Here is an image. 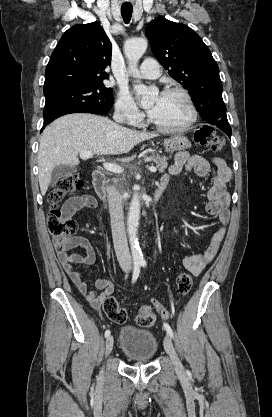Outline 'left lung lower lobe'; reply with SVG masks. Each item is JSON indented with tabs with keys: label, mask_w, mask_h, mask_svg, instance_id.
<instances>
[{
	"label": "left lung lower lobe",
	"mask_w": 272,
	"mask_h": 417,
	"mask_svg": "<svg viewBox=\"0 0 272 417\" xmlns=\"http://www.w3.org/2000/svg\"><path fill=\"white\" fill-rule=\"evenodd\" d=\"M223 131L229 136V137H231V133H232V131L231 130H227V129H223Z\"/></svg>",
	"instance_id": "1"
}]
</instances>
